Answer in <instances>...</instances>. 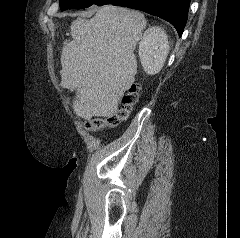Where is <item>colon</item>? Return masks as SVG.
<instances>
[{"instance_id":"5ec220e1","label":"colon","mask_w":240,"mask_h":238,"mask_svg":"<svg viewBox=\"0 0 240 238\" xmlns=\"http://www.w3.org/2000/svg\"><path fill=\"white\" fill-rule=\"evenodd\" d=\"M139 86L133 84L127 94L122 99V106L118 112L108 118H96L87 122V127L91 130H101L107 127H115L120 122L126 120L138 99Z\"/></svg>"}]
</instances>
